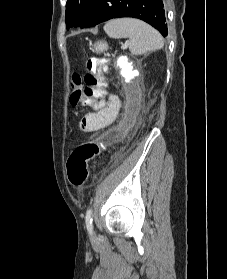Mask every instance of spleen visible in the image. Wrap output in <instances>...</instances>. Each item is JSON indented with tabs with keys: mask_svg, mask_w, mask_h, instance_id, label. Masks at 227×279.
<instances>
[{
	"mask_svg": "<svg viewBox=\"0 0 227 279\" xmlns=\"http://www.w3.org/2000/svg\"><path fill=\"white\" fill-rule=\"evenodd\" d=\"M104 31L112 38H129V49L134 55L159 50L164 46L160 33L138 19L111 20L105 24Z\"/></svg>",
	"mask_w": 227,
	"mask_h": 279,
	"instance_id": "3e777b00",
	"label": "spleen"
}]
</instances>
